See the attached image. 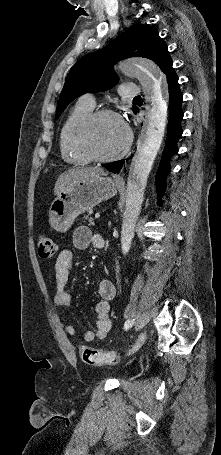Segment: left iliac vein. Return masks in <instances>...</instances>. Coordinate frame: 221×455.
<instances>
[{
  "label": "left iliac vein",
  "mask_w": 221,
  "mask_h": 455,
  "mask_svg": "<svg viewBox=\"0 0 221 455\" xmlns=\"http://www.w3.org/2000/svg\"><path fill=\"white\" fill-rule=\"evenodd\" d=\"M147 339V335L145 332H141L135 342V344L133 345V347L131 348V350L128 352V355H131L133 353H135L136 351L139 350V348H141V346L145 343Z\"/></svg>",
  "instance_id": "4c4485c4"
}]
</instances>
